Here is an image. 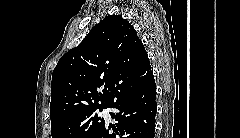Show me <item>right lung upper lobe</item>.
I'll return each mask as SVG.
<instances>
[{
  "label": "right lung upper lobe",
  "mask_w": 240,
  "mask_h": 138,
  "mask_svg": "<svg viewBox=\"0 0 240 138\" xmlns=\"http://www.w3.org/2000/svg\"><path fill=\"white\" fill-rule=\"evenodd\" d=\"M152 74L143 43L121 15H109L57 63L51 82V124L92 107H108ZM104 87L103 91L97 89Z\"/></svg>",
  "instance_id": "right-lung-upper-lobe-1"
}]
</instances>
